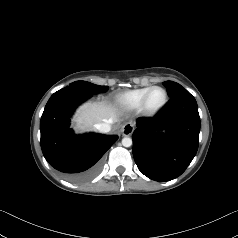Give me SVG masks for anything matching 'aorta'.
<instances>
[{
	"label": "aorta",
	"instance_id": "aorta-1",
	"mask_svg": "<svg viewBox=\"0 0 238 238\" xmlns=\"http://www.w3.org/2000/svg\"><path fill=\"white\" fill-rule=\"evenodd\" d=\"M122 145H123L124 147H130V146L132 145V139L129 138V137H124V138L122 139Z\"/></svg>",
	"mask_w": 238,
	"mask_h": 238
}]
</instances>
